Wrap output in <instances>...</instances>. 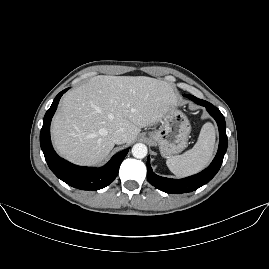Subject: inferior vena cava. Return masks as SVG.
<instances>
[{
  "mask_svg": "<svg viewBox=\"0 0 269 269\" xmlns=\"http://www.w3.org/2000/svg\"><path fill=\"white\" fill-rule=\"evenodd\" d=\"M111 139L115 144H123L127 141V133L123 129H118L112 133Z\"/></svg>",
  "mask_w": 269,
  "mask_h": 269,
  "instance_id": "1",
  "label": "inferior vena cava"
}]
</instances>
